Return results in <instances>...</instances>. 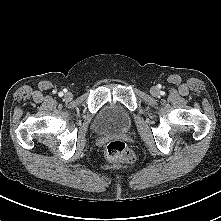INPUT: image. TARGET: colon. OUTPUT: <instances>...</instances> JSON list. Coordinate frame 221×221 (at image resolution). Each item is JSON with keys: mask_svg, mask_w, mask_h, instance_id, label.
<instances>
[{"mask_svg": "<svg viewBox=\"0 0 221 221\" xmlns=\"http://www.w3.org/2000/svg\"><path fill=\"white\" fill-rule=\"evenodd\" d=\"M108 159L123 164H131L135 160L133 151L122 141L114 140L106 146Z\"/></svg>", "mask_w": 221, "mask_h": 221, "instance_id": "1", "label": "colon"}]
</instances>
